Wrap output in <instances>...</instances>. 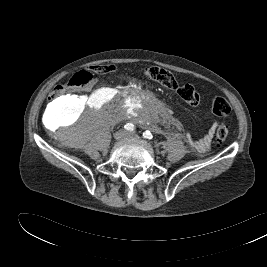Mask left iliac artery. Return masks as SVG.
<instances>
[{
	"instance_id": "44dca946",
	"label": "left iliac artery",
	"mask_w": 267,
	"mask_h": 267,
	"mask_svg": "<svg viewBox=\"0 0 267 267\" xmlns=\"http://www.w3.org/2000/svg\"><path fill=\"white\" fill-rule=\"evenodd\" d=\"M143 137L149 140L153 138L152 133L150 131L143 132Z\"/></svg>"
}]
</instances>
